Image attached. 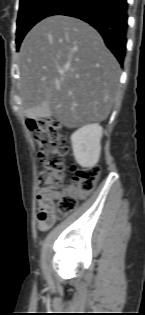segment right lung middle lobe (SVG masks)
<instances>
[{
    "instance_id": "obj_1",
    "label": "right lung middle lobe",
    "mask_w": 145,
    "mask_h": 315,
    "mask_svg": "<svg viewBox=\"0 0 145 315\" xmlns=\"http://www.w3.org/2000/svg\"><path fill=\"white\" fill-rule=\"evenodd\" d=\"M66 0H20L17 19L16 49L26 33L40 20L50 16Z\"/></svg>"
}]
</instances>
